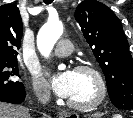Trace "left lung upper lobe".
Segmentation results:
<instances>
[{
  "label": "left lung upper lobe",
  "instance_id": "1",
  "mask_svg": "<svg viewBox=\"0 0 133 118\" xmlns=\"http://www.w3.org/2000/svg\"><path fill=\"white\" fill-rule=\"evenodd\" d=\"M75 19L105 75L112 103L133 110V60L120 20L96 0L81 2Z\"/></svg>",
  "mask_w": 133,
  "mask_h": 118
}]
</instances>
